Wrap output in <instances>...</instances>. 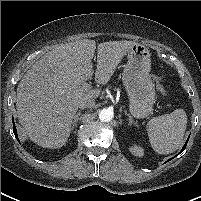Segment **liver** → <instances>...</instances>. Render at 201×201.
<instances>
[{
    "instance_id": "6515ba94",
    "label": "liver",
    "mask_w": 201,
    "mask_h": 201,
    "mask_svg": "<svg viewBox=\"0 0 201 201\" xmlns=\"http://www.w3.org/2000/svg\"><path fill=\"white\" fill-rule=\"evenodd\" d=\"M136 43L109 41L97 51L95 81L107 84L127 50ZM94 40L62 44L47 52L25 73L18 84L16 107L28 137L45 148L62 147L68 140L79 101L97 98L100 89L84 90L92 78Z\"/></svg>"
}]
</instances>
